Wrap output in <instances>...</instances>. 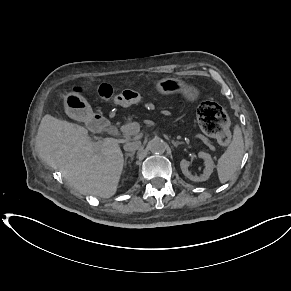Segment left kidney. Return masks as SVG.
<instances>
[{
	"mask_svg": "<svg viewBox=\"0 0 291 291\" xmlns=\"http://www.w3.org/2000/svg\"><path fill=\"white\" fill-rule=\"evenodd\" d=\"M198 157L204 160L205 169H204V173L202 176L198 177V176L192 175L188 170L190 162L185 160V159H183L180 162V167H181L182 173L187 178H189L190 180L195 181V182H202V181H206L209 179V177L212 174L213 169H214V163H213V160H212L210 154H208V153L199 152Z\"/></svg>",
	"mask_w": 291,
	"mask_h": 291,
	"instance_id": "obj_1",
	"label": "left kidney"
}]
</instances>
